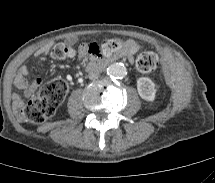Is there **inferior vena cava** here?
<instances>
[{
    "mask_svg": "<svg viewBox=\"0 0 215 183\" xmlns=\"http://www.w3.org/2000/svg\"><path fill=\"white\" fill-rule=\"evenodd\" d=\"M99 78V72L98 71H91L89 73V79L96 80Z\"/></svg>",
    "mask_w": 215,
    "mask_h": 183,
    "instance_id": "obj_1",
    "label": "inferior vena cava"
}]
</instances>
